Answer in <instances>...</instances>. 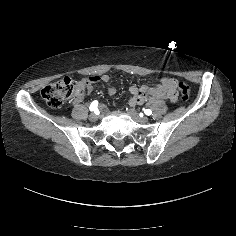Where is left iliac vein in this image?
<instances>
[{
	"mask_svg": "<svg viewBox=\"0 0 236 236\" xmlns=\"http://www.w3.org/2000/svg\"><path fill=\"white\" fill-rule=\"evenodd\" d=\"M129 115L136 121L139 123H147L149 121L148 117H141L139 116V114L137 113V111H135L134 109H130L129 110Z\"/></svg>",
	"mask_w": 236,
	"mask_h": 236,
	"instance_id": "1",
	"label": "left iliac vein"
}]
</instances>
